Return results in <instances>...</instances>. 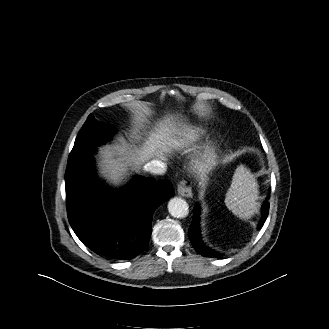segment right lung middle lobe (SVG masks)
Wrapping results in <instances>:
<instances>
[{"instance_id": "1", "label": "right lung middle lobe", "mask_w": 329, "mask_h": 329, "mask_svg": "<svg viewBox=\"0 0 329 329\" xmlns=\"http://www.w3.org/2000/svg\"><path fill=\"white\" fill-rule=\"evenodd\" d=\"M112 134L113 129L109 125L97 121L90 114L75 140L68 163L73 162L87 151L94 149L96 145L105 143Z\"/></svg>"}]
</instances>
